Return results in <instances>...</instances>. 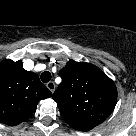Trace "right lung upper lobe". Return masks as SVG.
Returning <instances> with one entry per match:
<instances>
[{
  "label": "right lung upper lobe",
  "mask_w": 136,
  "mask_h": 136,
  "mask_svg": "<svg viewBox=\"0 0 136 136\" xmlns=\"http://www.w3.org/2000/svg\"><path fill=\"white\" fill-rule=\"evenodd\" d=\"M52 96L37 74L23 69L21 61L0 62V122L15 126L30 118L40 100Z\"/></svg>",
  "instance_id": "obj_1"
}]
</instances>
